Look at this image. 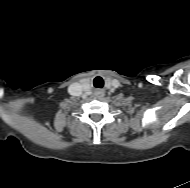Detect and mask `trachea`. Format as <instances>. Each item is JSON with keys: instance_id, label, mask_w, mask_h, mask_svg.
I'll use <instances>...</instances> for the list:
<instances>
[{"instance_id": "trachea-1", "label": "trachea", "mask_w": 190, "mask_h": 188, "mask_svg": "<svg viewBox=\"0 0 190 188\" xmlns=\"http://www.w3.org/2000/svg\"><path fill=\"white\" fill-rule=\"evenodd\" d=\"M98 82H102V79L99 78V77H97V78L94 80L95 86H96V84H97ZM96 87H99V86H96ZM101 87H102V86H100V88H101Z\"/></svg>"}]
</instances>
